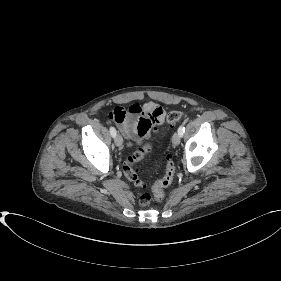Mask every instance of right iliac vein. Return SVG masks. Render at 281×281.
Returning a JSON list of instances; mask_svg holds the SVG:
<instances>
[{"instance_id":"63e3f726","label":"right iliac vein","mask_w":281,"mask_h":281,"mask_svg":"<svg viewBox=\"0 0 281 281\" xmlns=\"http://www.w3.org/2000/svg\"><path fill=\"white\" fill-rule=\"evenodd\" d=\"M115 144L117 147H122L123 145V139L121 137V135L117 134L114 138Z\"/></svg>"}]
</instances>
